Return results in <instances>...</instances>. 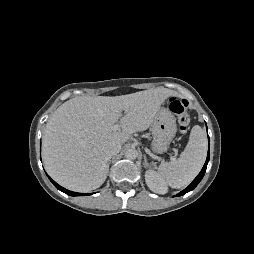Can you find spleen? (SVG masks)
<instances>
[{"mask_svg": "<svg viewBox=\"0 0 254 254\" xmlns=\"http://www.w3.org/2000/svg\"><path fill=\"white\" fill-rule=\"evenodd\" d=\"M207 154V138L204 130L195 125L189 141L178 159L162 162L158 167L161 178L172 188L187 186L200 172Z\"/></svg>", "mask_w": 254, "mask_h": 254, "instance_id": "3e777b00", "label": "spleen"}]
</instances>
